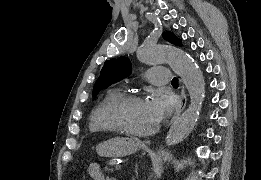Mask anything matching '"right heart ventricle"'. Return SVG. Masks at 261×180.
Masks as SVG:
<instances>
[{
	"instance_id": "e07e8e85",
	"label": "right heart ventricle",
	"mask_w": 261,
	"mask_h": 180,
	"mask_svg": "<svg viewBox=\"0 0 261 180\" xmlns=\"http://www.w3.org/2000/svg\"><path fill=\"white\" fill-rule=\"evenodd\" d=\"M122 95L123 92L121 90L110 89L103 94L93 108L88 121V133H107V138H91L95 142H102L116 137L108 117V112Z\"/></svg>"
}]
</instances>
